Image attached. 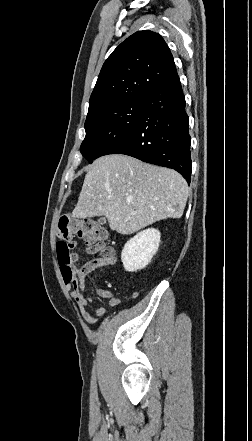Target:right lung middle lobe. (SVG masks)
I'll return each instance as SVG.
<instances>
[{
	"label": "right lung middle lobe",
	"instance_id": "1",
	"mask_svg": "<svg viewBox=\"0 0 252 441\" xmlns=\"http://www.w3.org/2000/svg\"><path fill=\"white\" fill-rule=\"evenodd\" d=\"M144 104L141 98L105 108L85 121L86 137L81 153L92 163L124 138L136 125Z\"/></svg>",
	"mask_w": 252,
	"mask_h": 441
}]
</instances>
